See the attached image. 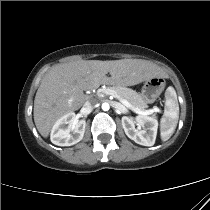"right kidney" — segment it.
Masks as SVG:
<instances>
[{
  "label": "right kidney",
  "instance_id": "ca27d5eb",
  "mask_svg": "<svg viewBox=\"0 0 210 210\" xmlns=\"http://www.w3.org/2000/svg\"><path fill=\"white\" fill-rule=\"evenodd\" d=\"M85 120H78L75 113L70 112L59 118L51 130V142L57 146H71L83 139Z\"/></svg>",
  "mask_w": 210,
  "mask_h": 210
}]
</instances>
